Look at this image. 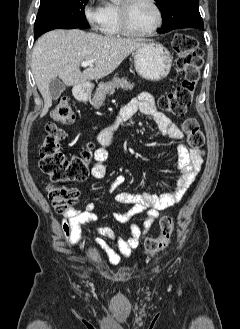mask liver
<instances>
[{
	"instance_id": "1",
	"label": "liver",
	"mask_w": 240,
	"mask_h": 329,
	"mask_svg": "<svg viewBox=\"0 0 240 329\" xmlns=\"http://www.w3.org/2000/svg\"><path fill=\"white\" fill-rule=\"evenodd\" d=\"M142 44L141 39L108 37L78 29H56L43 34L34 45L31 61L36 85L44 99L41 117L52 105L49 83L53 79L59 77L66 86L101 79ZM83 61L93 64L81 72Z\"/></svg>"
}]
</instances>
